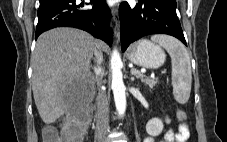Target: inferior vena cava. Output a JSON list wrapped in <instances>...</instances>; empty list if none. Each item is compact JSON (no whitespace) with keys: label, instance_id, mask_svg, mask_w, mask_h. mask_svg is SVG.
Returning <instances> with one entry per match:
<instances>
[{"label":"inferior vena cava","instance_id":"obj_1","mask_svg":"<svg viewBox=\"0 0 227 142\" xmlns=\"http://www.w3.org/2000/svg\"><path fill=\"white\" fill-rule=\"evenodd\" d=\"M101 64H97L94 67L96 82L98 86H101L102 79L104 76V69L101 67ZM96 105H97L96 125H97L98 142H104L106 140V136L109 131V118H108L109 100L107 98L106 93L101 88L98 89V95L96 97Z\"/></svg>","mask_w":227,"mask_h":142}]
</instances>
